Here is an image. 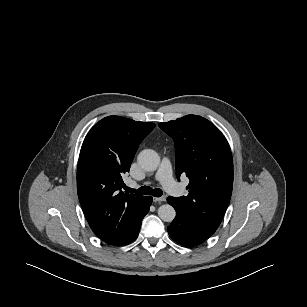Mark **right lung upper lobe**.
Returning <instances> with one entry per match:
<instances>
[{
	"mask_svg": "<svg viewBox=\"0 0 307 307\" xmlns=\"http://www.w3.org/2000/svg\"><path fill=\"white\" fill-rule=\"evenodd\" d=\"M155 124L108 116L87 134L82 144L77 191L84 214L103 241L129 243L146 213L147 196L124 193L123 174L129 172L142 140Z\"/></svg>",
	"mask_w": 307,
	"mask_h": 307,
	"instance_id": "obj_1",
	"label": "right lung upper lobe"
}]
</instances>
